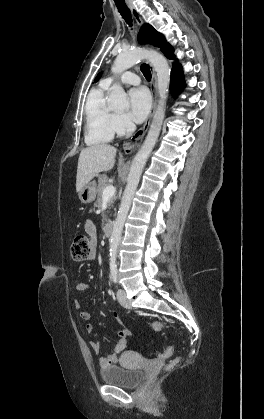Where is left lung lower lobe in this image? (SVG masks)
Wrapping results in <instances>:
<instances>
[{"mask_svg":"<svg viewBox=\"0 0 264 419\" xmlns=\"http://www.w3.org/2000/svg\"><path fill=\"white\" fill-rule=\"evenodd\" d=\"M169 59H174L173 50L164 53ZM183 71L179 63H174L171 71V91L177 94L183 87Z\"/></svg>","mask_w":264,"mask_h":419,"instance_id":"left-lung-lower-lobe-1","label":"left lung lower lobe"}]
</instances>
